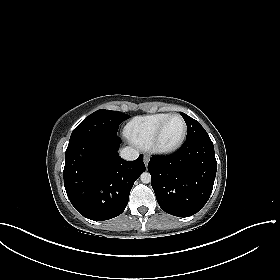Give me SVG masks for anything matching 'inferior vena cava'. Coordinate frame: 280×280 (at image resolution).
Segmentation results:
<instances>
[{"label":"inferior vena cava","mask_w":280,"mask_h":280,"mask_svg":"<svg viewBox=\"0 0 280 280\" xmlns=\"http://www.w3.org/2000/svg\"><path fill=\"white\" fill-rule=\"evenodd\" d=\"M120 156L125 160H135L139 156V152L132 147H125L120 151Z\"/></svg>","instance_id":"1"}]
</instances>
